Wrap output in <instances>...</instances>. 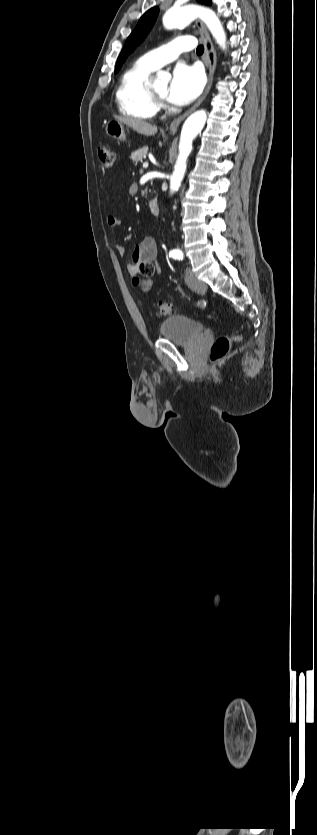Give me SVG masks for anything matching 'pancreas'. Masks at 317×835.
I'll return each mask as SVG.
<instances>
[{
    "instance_id": "cf45deb5",
    "label": "pancreas",
    "mask_w": 317,
    "mask_h": 835,
    "mask_svg": "<svg viewBox=\"0 0 317 835\" xmlns=\"http://www.w3.org/2000/svg\"><path fill=\"white\" fill-rule=\"evenodd\" d=\"M147 151H148V148L146 146H144L141 149L136 150L131 154V159L133 160L135 165H137L138 162H142L143 159L146 158Z\"/></svg>"
}]
</instances>
